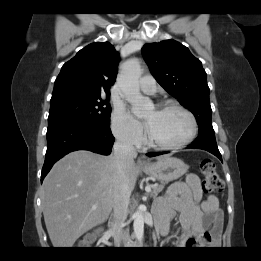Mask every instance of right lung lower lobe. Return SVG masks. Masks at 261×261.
I'll use <instances>...</instances> for the list:
<instances>
[{"instance_id":"right-lung-lower-lobe-1","label":"right lung lower lobe","mask_w":261,"mask_h":261,"mask_svg":"<svg viewBox=\"0 0 261 261\" xmlns=\"http://www.w3.org/2000/svg\"><path fill=\"white\" fill-rule=\"evenodd\" d=\"M47 151L41 181L60 158L75 150H89L108 155L115 138L109 126L71 121L48 126Z\"/></svg>"}]
</instances>
